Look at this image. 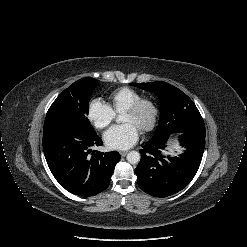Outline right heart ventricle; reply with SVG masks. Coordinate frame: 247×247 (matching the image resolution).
<instances>
[{
  "label": "right heart ventricle",
  "instance_id": "obj_1",
  "mask_svg": "<svg viewBox=\"0 0 247 247\" xmlns=\"http://www.w3.org/2000/svg\"><path fill=\"white\" fill-rule=\"evenodd\" d=\"M140 97H142L140 91L130 87H121L108 95V105L115 113H120Z\"/></svg>",
  "mask_w": 247,
  "mask_h": 247
}]
</instances>
